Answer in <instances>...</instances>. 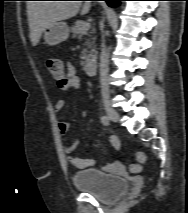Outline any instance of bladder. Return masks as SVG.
<instances>
[{"label":"bladder","mask_w":188,"mask_h":213,"mask_svg":"<svg viewBox=\"0 0 188 213\" xmlns=\"http://www.w3.org/2000/svg\"><path fill=\"white\" fill-rule=\"evenodd\" d=\"M72 182L76 188L106 203L117 200L128 188V182L123 177L109 175L97 169L75 172Z\"/></svg>","instance_id":"bladder-1"}]
</instances>
